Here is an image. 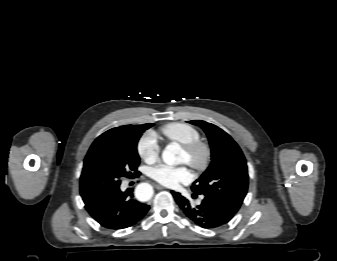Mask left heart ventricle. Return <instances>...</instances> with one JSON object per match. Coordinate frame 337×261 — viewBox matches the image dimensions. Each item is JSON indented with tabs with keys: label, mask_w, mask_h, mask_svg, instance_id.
<instances>
[{
	"label": "left heart ventricle",
	"mask_w": 337,
	"mask_h": 261,
	"mask_svg": "<svg viewBox=\"0 0 337 261\" xmlns=\"http://www.w3.org/2000/svg\"><path fill=\"white\" fill-rule=\"evenodd\" d=\"M187 161H188V155H187V153L183 150V151H182V154H181V162L187 163Z\"/></svg>",
	"instance_id": "b2bd125f"
}]
</instances>
